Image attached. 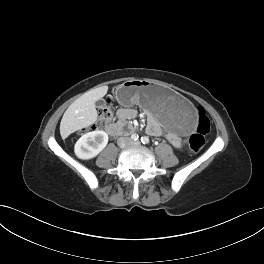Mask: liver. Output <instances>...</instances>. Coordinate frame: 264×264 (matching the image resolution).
<instances>
[{"label":"liver","instance_id":"1","mask_svg":"<svg viewBox=\"0 0 264 264\" xmlns=\"http://www.w3.org/2000/svg\"><path fill=\"white\" fill-rule=\"evenodd\" d=\"M108 87L102 86L84 93L65 111L61 123L60 134L66 139L71 133L92 125L97 120L95 102L107 93Z\"/></svg>","mask_w":264,"mask_h":264}]
</instances>
